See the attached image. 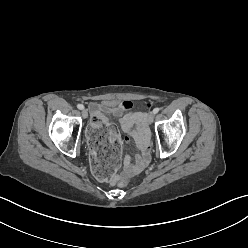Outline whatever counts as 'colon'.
<instances>
[{
    "mask_svg": "<svg viewBox=\"0 0 248 248\" xmlns=\"http://www.w3.org/2000/svg\"><path fill=\"white\" fill-rule=\"evenodd\" d=\"M146 106L150 108L151 103H147ZM84 131L91 147L89 153L91 169L97 179L113 182L117 180L119 187H127L129 179L115 175L120 160V142L112 138V134L117 135L116 127L97 114L92 122L85 124Z\"/></svg>",
    "mask_w": 248,
    "mask_h": 248,
    "instance_id": "colon-1",
    "label": "colon"
}]
</instances>
